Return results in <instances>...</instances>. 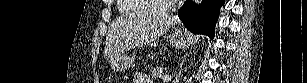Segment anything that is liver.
Masks as SVG:
<instances>
[{
    "label": "liver",
    "mask_w": 307,
    "mask_h": 83,
    "mask_svg": "<svg viewBox=\"0 0 307 83\" xmlns=\"http://www.w3.org/2000/svg\"><path fill=\"white\" fill-rule=\"evenodd\" d=\"M178 20L151 12L132 14L117 20L110 28L104 51L106 59L121 55L127 48L151 43L176 25Z\"/></svg>",
    "instance_id": "1"
}]
</instances>
